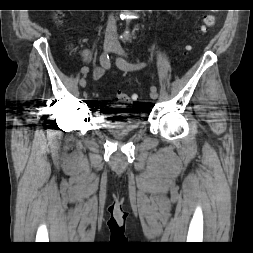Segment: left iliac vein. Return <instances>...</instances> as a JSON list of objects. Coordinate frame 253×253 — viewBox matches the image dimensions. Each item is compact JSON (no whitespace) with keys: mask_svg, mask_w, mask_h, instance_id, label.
I'll list each match as a JSON object with an SVG mask.
<instances>
[{"mask_svg":"<svg viewBox=\"0 0 253 253\" xmlns=\"http://www.w3.org/2000/svg\"><path fill=\"white\" fill-rule=\"evenodd\" d=\"M112 51L115 52L116 54H118L119 56H126L124 49L120 46V44L118 42L114 43V47L112 48ZM150 97L153 100L157 99V97H158L157 91L151 90Z\"/></svg>","mask_w":253,"mask_h":253,"instance_id":"obj_1","label":"left iliac vein"}]
</instances>
